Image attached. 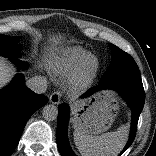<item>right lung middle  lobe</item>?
Returning <instances> with one entry per match:
<instances>
[{
    "mask_svg": "<svg viewBox=\"0 0 156 156\" xmlns=\"http://www.w3.org/2000/svg\"><path fill=\"white\" fill-rule=\"evenodd\" d=\"M19 38L3 36L0 34V55L6 57H17L20 54L19 46L17 45Z\"/></svg>",
    "mask_w": 156,
    "mask_h": 156,
    "instance_id": "1",
    "label": "right lung middle lobe"
}]
</instances>
